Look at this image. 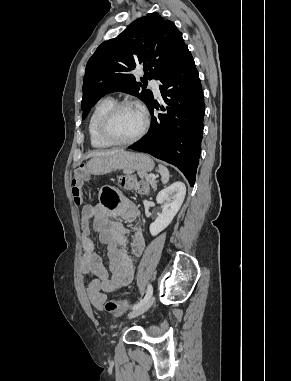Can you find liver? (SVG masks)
Listing matches in <instances>:
<instances>
[{"label":"liver","instance_id":"6515ba94","mask_svg":"<svg viewBox=\"0 0 291 381\" xmlns=\"http://www.w3.org/2000/svg\"><path fill=\"white\" fill-rule=\"evenodd\" d=\"M120 152H123V150L114 149V150H107V151H93V152L89 153L86 158L108 156V155H113V154L120 153Z\"/></svg>","mask_w":291,"mask_h":381}]
</instances>
